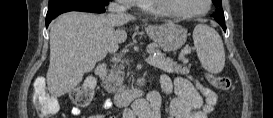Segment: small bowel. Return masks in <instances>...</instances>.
I'll list each match as a JSON object with an SVG mask.
<instances>
[{"mask_svg":"<svg viewBox=\"0 0 273 118\" xmlns=\"http://www.w3.org/2000/svg\"><path fill=\"white\" fill-rule=\"evenodd\" d=\"M160 85L164 94H176L171 100L168 118H207L214 110L216 94L190 79L178 76L172 80L167 75H161ZM108 106L109 103L106 107ZM160 107V97L154 95L149 99V106L141 104L137 107V113L146 118H161ZM81 113L78 107L71 109V114L75 117Z\"/></svg>","mask_w":273,"mask_h":118,"instance_id":"1","label":"small bowel"}]
</instances>
